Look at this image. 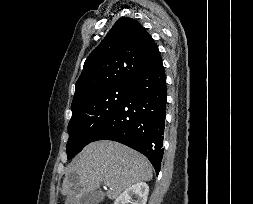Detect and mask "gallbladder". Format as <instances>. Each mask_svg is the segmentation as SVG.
<instances>
[{"label": "gallbladder", "instance_id": "1", "mask_svg": "<svg viewBox=\"0 0 253 204\" xmlns=\"http://www.w3.org/2000/svg\"><path fill=\"white\" fill-rule=\"evenodd\" d=\"M104 198V194L100 190H95L84 194L80 199V204H98Z\"/></svg>", "mask_w": 253, "mask_h": 204}]
</instances>
